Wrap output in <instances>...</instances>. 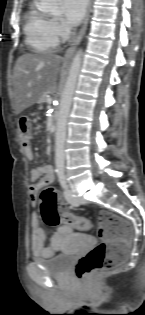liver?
I'll use <instances>...</instances> for the list:
<instances>
[{
	"label": "liver",
	"instance_id": "1",
	"mask_svg": "<svg viewBox=\"0 0 145 315\" xmlns=\"http://www.w3.org/2000/svg\"><path fill=\"white\" fill-rule=\"evenodd\" d=\"M64 60L54 53L20 56L13 76L12 106L16 115L41 100L46 91L53 90L64 68Z\"/></svg>",
	"mask_w": 145,
	"mask_h": 315
}]
</instances>
